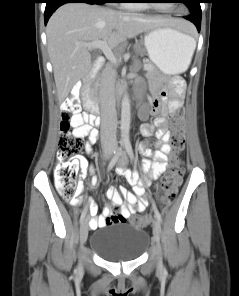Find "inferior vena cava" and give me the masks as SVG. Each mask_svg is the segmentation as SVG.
<instances>
[{"label":"inferior vena cava","instance_id":"1","mask_svg":"<svg viewBox=\"0 0 239 296\" xmlns=\"http://www.w3.org/2000/svg\"><path fill=\"white\" fill-rule=\"evenodd\" d=\"M115 71L107 65L101 75L99 103L101 109V142L116 146L117 113L115 108Z\"/></svg>","mask_w":239,"mask_h":296}]
</instances>
